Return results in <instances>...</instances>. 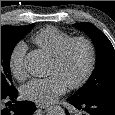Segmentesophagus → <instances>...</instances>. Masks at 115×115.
Instances as JSON below:
<instances>
[{
    "label": "esophagus",
    "instance_id": "esophagus-1",
    "mask_svg": "<svg viewBox=\"0 0 115 115\" xmlns=\"http://www.w3.org/2000/svg\"><path fill=\"white\" fill-rule=\"evenodd\" d=\"M37 108H47L48 106L47 105H42V104H36Z\"/></svg>",
    "mask_w": 115,
    "mask_h": 115
}]
</instances>
